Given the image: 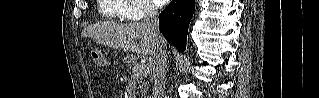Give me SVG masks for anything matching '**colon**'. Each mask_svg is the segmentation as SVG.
<instances>
[{"mask_svg": "<svg viewBox=\"0 0 319 98\" xmlns=\"http://www.w3.org/2000/svg\"><path fill=\"white\" fill-rule=\"evenodd\" d=\"M89 56L93 64L96 66L105 67L107 65L106 58L98 49L91 47L89 50Z\"/></svg>", "mask_w": 319, "mask_h": 98, "instance_id": "1", "label": "colon"}]
</instances>
